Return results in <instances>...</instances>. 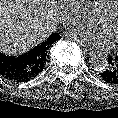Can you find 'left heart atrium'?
<instances>
[{"label":"left heart atrium","instance_id":"1","mask_svg":"<svg viewBox=\"0 0 118 118\" xmlns=\"http://www.w3.org/2000/svg\"><path fill=\"white\" fill-rule=\"evenodd\" d=\"M68 38L86 48L103 50L111 46L106 31L98 25L79 24L67 32Z\"/></svg>","mask_w":118,"mask_h":118}]
</instances>
